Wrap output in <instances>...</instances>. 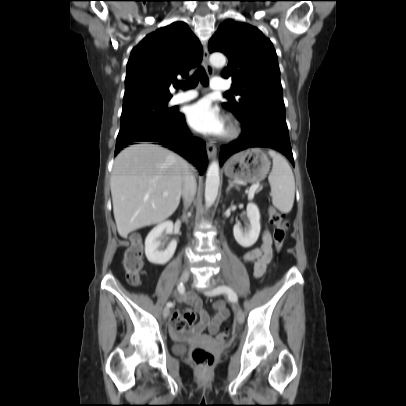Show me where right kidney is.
<instances>
[{"label": "right kidney", "instance_id": "right-kidney-1", "mask_svg": "<svg viewBox=\"0 0 406 406\" xmlns=\"http://www.w3.org/2000/svg\"><path fill=\"white\" fill-rule=\"evenodd\" d=\"M172 231L173 223L171 221L160 223L150 231L145 240V254L149 262L163 265L172 258L177 247V241H171L167 248L162 250L159 240L163 232L172 233Z\"/></svg>", "mask_w": 406, "mask_h": 406}]
</instances>
